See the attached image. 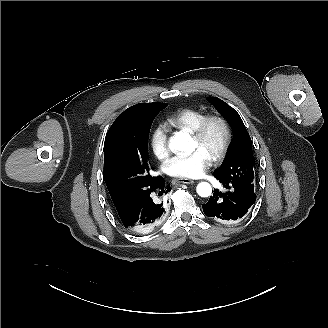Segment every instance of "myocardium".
Returning <instances> with one entry per match:
<instances>
[{
    "instance_id": "myocardium-1",
    "label": "myocardium",
    "mask_w": 328,
    "mask_h": 328,
    "mask_svg": "<svg viewBox=\"0 0 328 328\" xmlns=\"http://www.w3.org/2000/svg\"><path fill=\"white\" fill-rule=\"evenodd\" d=\"M213 123L220 124L225 132V137L221 148L214 156L211 157L213 162L218 163L225 159L232 145L233 129L230 122L220 114H208L198 123L190 134L196 142L202 143L209 126Z\"/></svg>"
}]
</instances>
